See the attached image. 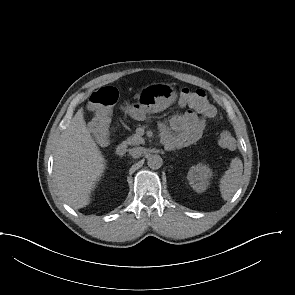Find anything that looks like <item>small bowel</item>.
<instances>
[{
  "instance_id": "small-bowel-1",
  "label": "small bowel",
  "mask_w": 295,
  "mask_h": 295,
  "mask_svg": "<svg viewBox=\"0 0 295 295\" xmlns=\"http://www.w3.org/2000/svg\"><path fill=\"white\" fill-rule=\"evenodd\" d=\"M124 110L136 119L144 117V111L137 105L127 104ZM204 128L205 121L193 111L174 113L168 124H160L161 137L169 148H182L196 142Z\"/></svg>"
}]
</instances>
